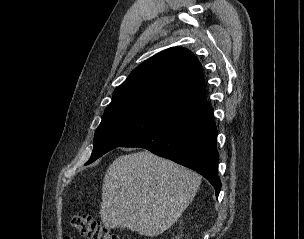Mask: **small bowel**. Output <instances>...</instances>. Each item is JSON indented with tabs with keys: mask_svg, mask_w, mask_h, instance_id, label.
<instances>
[{
	"mask_svg": "<svg viewBox=\"0 0 304 239\" xmlns=\"http://www.w3.org/2000/svg\"><path fill=\"white\" fill-rule=\"evenodd\" d=\"M64 239H74V238H72V237H64Z\"/></svg>",
	"mask_w": 304,
	"mask_h": 239,
	"instance_id": "1",
	"label": "small bowel"
}]
</instances>
